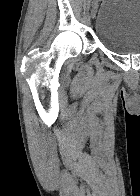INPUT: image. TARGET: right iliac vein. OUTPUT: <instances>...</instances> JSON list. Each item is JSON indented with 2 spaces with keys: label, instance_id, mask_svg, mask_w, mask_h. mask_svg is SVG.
<instances>
[{
  "label": "right iliac vein",
  "instance_id": "right-iliac-vein-1",
  "mask_svg": "<svg viewBox=\"0 0 140 196\" xmlns=\"http://www.w3.org/2000/svg\"><path fill=\"white\" fill-rule=\"evenodd\" d=\"M96 11H97V7L94 6V7L92 8V10H91V17H92L93 19H94L95 16H96Z\"/></svg>",
  "mask_w": 140,
  "mask_h": 196
}]
</instances>
